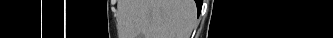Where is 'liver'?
<instances>
[{
	"label": "liver",
	"instance_id": "liver-1",
	"mask_svg": "<svg viewBox=\"0 0 333 38\" xmlns=\"http://www.w3.org/2000/svg\"><path fill=\"white\" fill-rule=\"evenodd\" d=\"M137 29L142 38H189L193 0H137Z\"/></svg>",
	"mask_w": 333,
	"mask_h": 38
}]
</instances>
